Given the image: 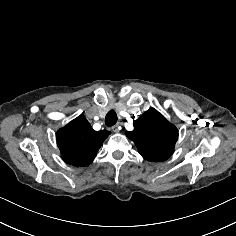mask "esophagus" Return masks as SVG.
Here are the masks:
<instances>
[{"mask_svg": "<svg viewBox=\"0 0 236 236\" xmlns=\"http://www.w3.org/2000/svg\"><path fill=\"white\" fill-rule=\"evenodd\" d=\"M112 130H113V132L118 133V132L120 131V130H119V125H118V124L114 125V126L112 127Z\"/></svg>", "mask_w": 236, "mask_h": 236, "instance_id": "esophagus-1", "label": "esophagus"}]
</instances>
